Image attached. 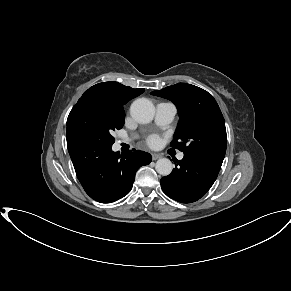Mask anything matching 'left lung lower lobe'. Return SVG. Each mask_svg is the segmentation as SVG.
<instances>
[{
    "label": "left lung lower lobe",
    "mask_w": 291,
    "mask_h": 291,
    "mask_svg": "<svg viewBox=\"0 0 291 291\" xmlns=\"http://www.w3.org/2000/svg\"><path fill=\"white\" fill-rule=\"evenodd\" d=\"M223 159L186 155L175 161V169L160 180L164 193L181 203H192L204 196L215 182Z\"/></svg>",
    "instance_id": "left-lung-lower-lobe-1"
}]
</instances>
